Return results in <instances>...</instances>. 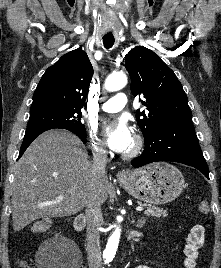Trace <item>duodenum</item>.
Listing matches in <instances>:
<instances>
[{"mask_svg": "<svg viewBox=\"0 0 221 268\" xmlns=\"http://www.w3.org/2000/svg\"><path fill=\"white\" fill-rule=\"evenodd\" d=\"M86 224V218L83 215L78 216L74 221V229L76 232L80 233Z\"/></svg>", "mask_w": 221, "mask_h": 268, "instance_id": "obj_1", "label": "duodenum"}]
</instances>
